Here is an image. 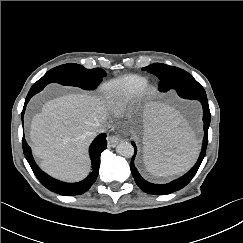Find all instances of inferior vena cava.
<instances>
[{"mask_svg":"<svg viewBox=\"0 0 243 243\" xmlns=\"http://www.w3.org/2000/svg\"><path fill=\"white\" fill-rule=\"evenodd\" d=\"M104 132H106V125L100 124V125L96 128L94 134H99V133H104Z\"/></svg>","mask_w":243,"mask_h":243,"instance_id":"obj_1","label":"inferior vena cava"}]
</instances>
